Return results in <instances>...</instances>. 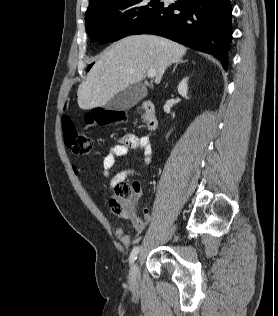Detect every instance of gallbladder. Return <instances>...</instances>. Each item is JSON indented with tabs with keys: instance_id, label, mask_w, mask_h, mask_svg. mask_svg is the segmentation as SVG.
<instances>
[{
	"instance_id": "bac80fb5",
	"label": "gallbladder",
	"mask_w": 278,
	"mask_h": 316,
	"mask_svg": "<svg viewBox=\"0 0 278 316\" xmlns=\"http://www.w3.org/2000/svg\"><path fill=\"white\" fill-rule=\"evenodd\" d=\"M147 95L146 87L142 84H133L120 91L105 105L109 110H128L135 106Z\"/></svg>"
}]
</instances>
